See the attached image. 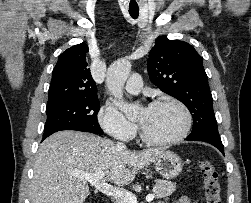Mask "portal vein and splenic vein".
Segmentation results:
<instances>
[{
    "label": "portal vein and splenic vein",
    "mask_w": 251,
    "mask_h": 203,
    "mask_svg": "<svg viewBox=\"0 0 251 203\" xmlns=\"http://www.w3.org/2000/svg\"><path fill=\"white\" fill-rule=\"evenodd\" d=\"M76 177L80 179L87 180L91 185H93L97 190L103 194L113 196L115 199L123 200L124 203H137V197L120 188L113 187L112 185L104 182L103 178L105 176L104 171H98L95 173H76ZM154 198L153 194H148L146 196V201L151 202Z\"/></svg>",
    "instance_id": "portal-vein-and-splenic-vein-1"
}]
</instances>
